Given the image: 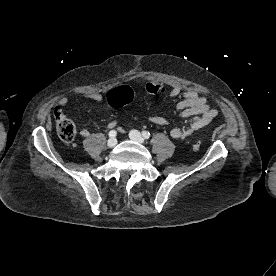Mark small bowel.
<instances>
[{"label":"small bowel","mask_w":276,"mask_h":276,"mask_svg":"<svg viewBox=\"0 0 276 276\" xmlns=\"http://www.w3.org/2000/svg\"><path fill=\"white\" fill-rule=\"evenodd\" d=\"M146 91L151 95L165 92L167 98L175 104V114L185 120L182 126L174 127L170 131V136L177 140H184L192 136L201 128L211 123L218 114V111L211 106L207 97L195 90H186L180 86H172L166 90L159 82L151 81L147 83ZM83 97L96 102H103L102 95L97 92L86 93ZM67 103L68 99L66 97L59 100L60 106H65ZM148 120L159 126H167L169 124V120L160 115H151ZM117 127L118 122L116 120L108 124V128L110 129H116ZM90 134V131L86 128L80 131V135L84 138L89 137Z\"/></svg>","instance_id":"1"}]
</instances>
